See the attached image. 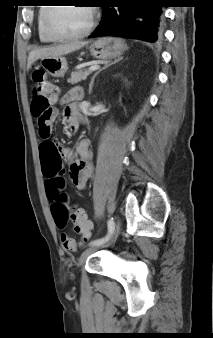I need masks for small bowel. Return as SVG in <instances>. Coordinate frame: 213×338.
I'll list each match as a JSON object with an SVG mask.
<instances>
[{
  "label": "small bowel",
  "instance_id": "1",
  "mask_svg": "<svg viewBox=\"0 0 213 338\" xmlns=\"http://www.w3.org/2000/svg\"><path fill=\"white\" fill-rule=\"evenodd\" d=\"M81 90L77 87L69 90L60 100L65 105L64 119L69 124L66 128L67 134H72V124H79V117L75 113L76 103L81 99ZM51 124V121L49 122ZM45 142H51L50 139H44L42 145ZM41 145V146H42ZM77 151L83 159L88 156V142L83 141L77 146ZM70 151L64 146H57L54 151L47 155L41 149V170L46 179L47 196L51 203V212L57 225L64 227L67 219L58 220L54 214V207L58 204L56 197L59 193L60 186L63 180L62 164L60 162L61 157H70ZM92 173V167L85 162H74L69 165L68 175L73 185L78 190H84L86 188L88 179Z\"/></svg>",
  "mask_w": 213,
  "mask_h": 338
}]
</instances>
